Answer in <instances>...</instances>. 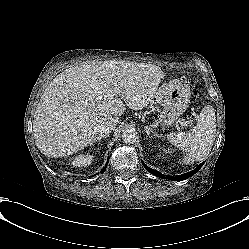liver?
<instances>
[{
  "instance_id": "obj_1",
  "label": "liver",
  "mask_w": 249,
  "mask_h": 249,
  "mask_svg": "<svg viewBox=\"0 0 249 249\" xmlns=\"http://www.w3.org/2000/svg\"><path fill=\"white\" fill-rule=\"evenodd\" d=\"M159 69L93 62L59 74L45 90L33 123L37 147L64 157L92 145L103 121L118 119L126 106L141 110L157 92Z\"/></svg>"
}]
</instances>
